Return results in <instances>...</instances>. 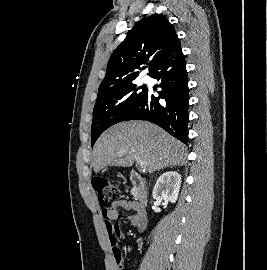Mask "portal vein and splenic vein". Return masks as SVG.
Here are the masks:
<instances>
[{
    "mask_svg": "<svg viewBox=\"0 0 267 270\" xmlns=\"http://www.w3.org/2000/svg\"><path fill=\"white\" fill-rule=\"evenodd\" d=\"M135 160L142 169L145 168V162L140 157H135Z\"/></svg>",
    "mask_w": 267,
    "mask_h": 270,
    "instance_id": "portal-vein-and-splenic-vein-1",
    "label": "portal vein and splenic vein"
}]
</instances>
